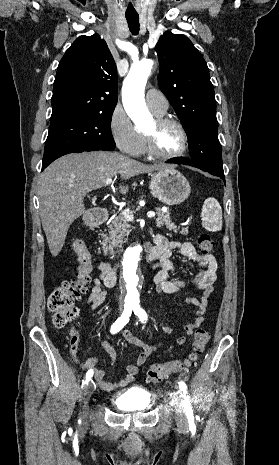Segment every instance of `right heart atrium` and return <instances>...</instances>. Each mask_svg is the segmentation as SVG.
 <instances>
[{"mask_svg":"<svg viewBox=\"0 0 279 465\" xmlns=\"http://www.w3.org/2000/svg\"><path fill=\"white\" fill-rule=\"evenodd\" d=\"M109 132L117 148L126 154H133L138 144V133L125 110L117 105L109 117Z\"/></svg>","mask_w":279,"mask_h":465,"instance_id":"1","label":"right heart atrium"}]
</instances>
